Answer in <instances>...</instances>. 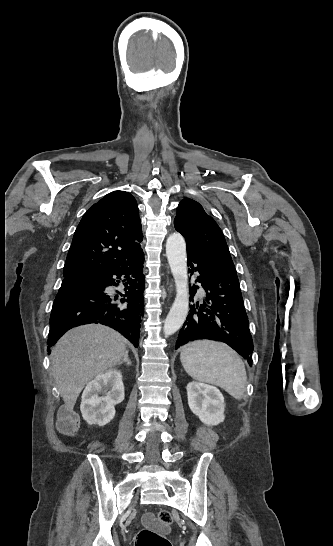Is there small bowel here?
I'll list each match as a JSON object with an SVG mask.
<instances>
[{"instance_id": "small-bowel-1", "label": "small bowel", "mask_w": 333, "mask_h": 546, "mask_svg": "<svg viewBox=\"0 0 333 546\" xmlns=\"http://www.w3.org/2000/svg\"><path fill=\"white\" fill-rule=\"evenodd\" d=\"M74 417L72 415L66 416L64 418H61L57 421V429L60 433L64 435H69L70 433H73V424ZM144 521L146 523H151L153 521V517L151 514H147L144 518Z\"/></svg>"}]
</instances>
